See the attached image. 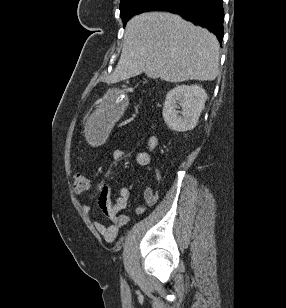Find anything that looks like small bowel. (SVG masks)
Masks as SVG:
<instances>
[{
    "instance_id": "c3829d8e",
    "label": "small bowel",
    "mask_w": 286,
    "mask_h": 308,
    "mask_svg": "<svg viewBox=\"0 0 286 308\" xmlns=\"http://www.w3.org/2000/svg\"><path fill=\"white\" fill-rule=\"evenodd\" d=\"M142 129L149 132L148 146L146 151H142L136 156V163L139 166L146 167L151 161V152L158 145V137L156 135V126L154 123L146 121L141 125ZM124 156L122 149H117L114 153L115 159H121ZM130 196V190L128 187L123 186L118 190L117 196L114 201L111 200L110 190L107 186H103L98 198V207L102 210L106 217L111 220L109 225H105L100 221L94 222V227L98 233H100L106 241H113L119 229L125 225L128 221V217L121 215L120 212L127 207ZM158 200L157 191L148 187L143 193V202L136 207V213L142 214L148 207L153 206ZM82 210L86 214H90L93 207L90 205L82 206Z\"/></svg>"
}]
</instances>
